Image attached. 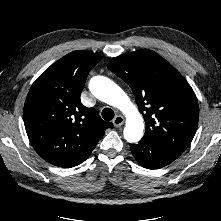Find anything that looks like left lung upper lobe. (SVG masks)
<instances>
[{"instance_id": "1", "label": "left lung upper lobe", "mask_w": 221, "mask_h": 221, "mask_svg": "<svg viewBox=\"0 0 221 221\" xmlns=\"http://www.w3.org/2000/svg\"><path fill=\"white\" fill-rule=\"evenodd\" d=\"M108 69L132 89L146 129L142 139L182 154L198 124L196 95L185 78L151 50L113 58Z\"/></svg>"}]
</instances>
